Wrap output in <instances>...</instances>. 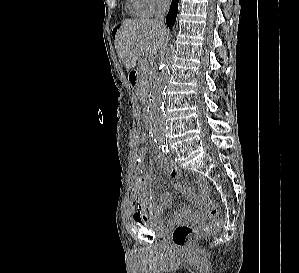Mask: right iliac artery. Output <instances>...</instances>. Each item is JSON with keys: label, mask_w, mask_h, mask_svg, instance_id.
<instances>
[{"label": "right iliac artery", "mask_w": 299, "mask_h": 273, "mask_svg": "<svg viewBox=\"0 0 299 273\" xmlns=\"http://www.w3.org/2000/svg\"><path fill=\"white\" fill-rule=\"evenodd\" d=\"M164 144H165V143L161 142V143L158 144V146L162 148V146H163Z\"/></svg>", "instance_id": "1"}]
</instances>
